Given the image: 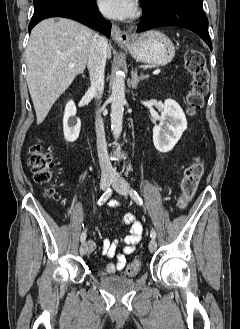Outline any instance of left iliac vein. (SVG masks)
<instances>
[{
    "label": "left iliac vein",
    "instance_id": "4c4485c4",
    "mask_svg": "<svg viewBox=\"0 0 240 329\" xmlns=\"http://www.w3.org/2000/svg\"><path fill=\"white\" fill-rule=\"evenodd\" d=\"M112 185L114 189L121 195L127 196L129 191V186L127 182L122 179L118 174L113 178ZM157 248V242L155 239H151L149 242V251L154 252Z\"/></svg>",
    "mask_w": 240,
    "mask_h": 329
}]
</instances>
